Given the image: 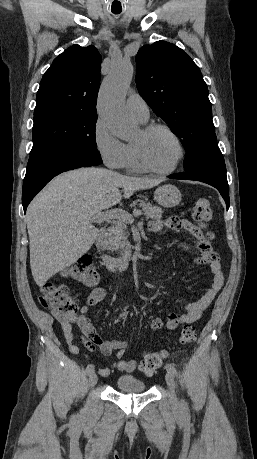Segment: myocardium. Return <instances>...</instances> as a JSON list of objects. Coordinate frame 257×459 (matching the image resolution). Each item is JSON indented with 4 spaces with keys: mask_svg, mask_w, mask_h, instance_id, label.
Segmentation results:
<instances>
[{
    "mask_svg": "<svg viewBox=\"0 0 257 459\" xmlns=\"http://www.w3.org/2000/svg\"><path fill=\"white\" fill-rule=\"evenodd\" d=\"M157 130L165 131L175 141V143H176V145L178 147V150H179V154H178V157H177L176 161L174 162V164L171 167L167 168V169H160V168H157V167L153 166L150 163V161L148 160V158L146 156V153H145V150H144V146H143V144L141 142H134L136 154H137V157H138V160H139L140 164L142 165V167L145 170H147L149 172H152V173L160 174V175L171 174L182 163V161H183V159L185 157V147H184L180 137L169 126H167L165 124H162V123H150V124H147L141 129V133H142L143 137H147V136H149L150 134H152L153 132H155Z\"/></svg>",
    "mask_w": 257,
    "mask_h": 459,
    "instance_id": "obj_1",
    "label": "myocardium"
}]
</instances>
